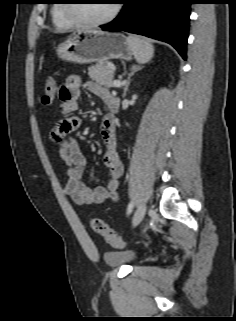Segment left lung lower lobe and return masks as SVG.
Segmentation results:
<instances>
[{
  "mask_svg": "<svg viewBox=\"0 0 236 321\" xmlns=\"http://www.w3.org/2000/svg\"><path fill=\"white\" fill-rule=\"evenodd\" d=\"M125 7L105 31H126L171 44L186 60L192 0H123Z\"/></svg>",
  "mask_w": 236,
  "mask_h": 321,
  "instance_id": "1",
  "label": "left lung lower lobe"
}]
</instances>
